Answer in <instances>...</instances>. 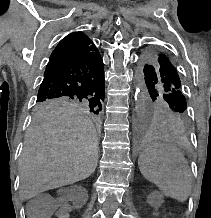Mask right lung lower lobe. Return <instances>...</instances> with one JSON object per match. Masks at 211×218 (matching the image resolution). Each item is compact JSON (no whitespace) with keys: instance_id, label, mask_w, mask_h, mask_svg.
<instances>
[{"instance_id":"98d812e1","label":"right lung lower lobe","mask_w":211,"mask_h":218,"mask_svg":"<svg viewBox=\"0 0 211 218\" xmlns=\"http://www.w3.org/2000/svg\"><path fill=\"white\" fill-rule=\"evenodd\" d=\"M103 61L92 53L46 68L37 98L70 97L104 101Z\"/></svg>"}]
</instances>
